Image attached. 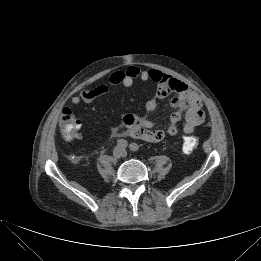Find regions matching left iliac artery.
<instances>
[{
  "instance_id": "44dca946",
  "label": "left iliac artery",
  "mask_w": 261,
  "mask_h": 261,
  "mask_svg": "<svg viewBox=\"0 0 261 261\" xmlns=\"http://www.w3.org/2000/svg\"><path fill=\"white\" fill-rule=\"evenodd\" d=\"M129 147H130V150L133 151V152H136L139 149V147L136 143L130 144Z\"/></svg>"
}]
</instances>
